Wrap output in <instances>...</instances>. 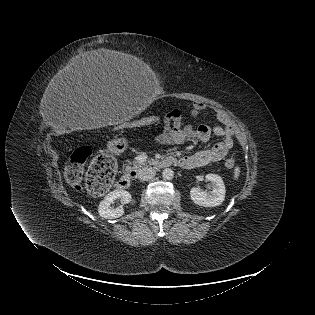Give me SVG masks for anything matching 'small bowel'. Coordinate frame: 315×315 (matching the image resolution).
Instances as JSON below:
<instances>
[{"label":"small bowel","instance_id":"obj_1","mask_svg":"<svg viewBox=\"0 0 315 315\" xmlns=\"http://www.w3.org/2000/svg\"><path fill=\"white\" fill-rule=\"evenodd\" d=\"M206 106L201 102H193L189 106V115L197 117L205 110ZM220 125L210 127L205 124L193 126L185 121V113L174 109L169 111L163 122V130L155 138L156 142L165 145H182L190 140L207 142L212 135L222 138L208 149L194 154L183 156L176 163L184 169L203 167L222 160L233 148V128L225 114L216 112Z\"/></svg>","mask_w":315,"mask_h":315}]
</instances>
